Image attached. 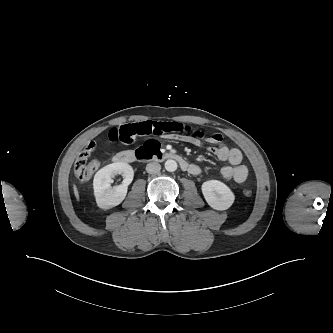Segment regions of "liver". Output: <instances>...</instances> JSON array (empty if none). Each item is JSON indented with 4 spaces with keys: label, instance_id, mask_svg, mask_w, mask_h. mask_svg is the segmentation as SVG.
Listing matches in <instances>:
<instances>
[{
    "label": "liver",
    "instance_id": "1",
    "mask_svg": "<svg viewBox=\"0 0 333 333\" xmlns=\"http://www.w3.org/2000/svg\"><path fill=\"white\" fill-rule=\"evenodd\" d=\"M73 190H74V195H75L76 199L79 201V192H78L76 185L73 186Z\"/></svg>",
    "mask_w": 333,
    "mask_h": 333
}]
</instances>
